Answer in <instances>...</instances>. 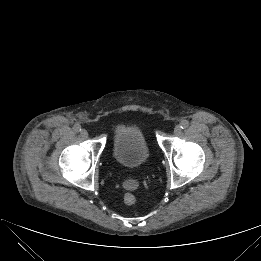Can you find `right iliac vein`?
<instances>
[{
  "mask_svg": "<svg viewBox=\"0 0 261 261\" xmlns=\"http://www.w3.org/2000/svg\"><path fill=\"white\" fill-rule=\"evenodd\" d=\"M81 135H82L83 137H87V136H88V131H87L86 129H82V130H81Z\"/></svg>",
  "mask_w": 261,
  "mask_h": 261,
  "instance_id": "right-iliac-vein-1",
  "label": "right iliac vein"
}]
</instances>
